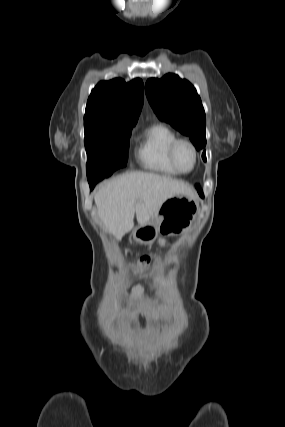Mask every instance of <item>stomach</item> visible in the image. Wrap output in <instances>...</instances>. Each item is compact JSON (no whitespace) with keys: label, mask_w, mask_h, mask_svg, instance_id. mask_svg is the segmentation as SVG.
Returning a JSON list of instances; mask_svg holds the SVG:
<instances>
[{"label":"stomach","mask_w":285,"mask_h":427,"mask_svg":"<svg viewBox=\"0 0 285 427\" xmlns=\"http://www.w3.org/2000/svg\"><path fill=\"white\" fill-rule=\"evenodd\" d=\"M199 212V204L193 197L177 195L165 202L148 224L135 230L134 239L142 244H151L159 233L184 232L191 227Z\"/></svg>","instance_id":"1"}]
</instances>
